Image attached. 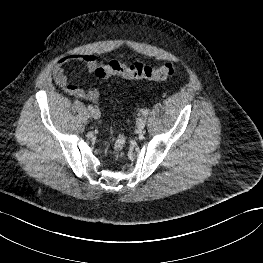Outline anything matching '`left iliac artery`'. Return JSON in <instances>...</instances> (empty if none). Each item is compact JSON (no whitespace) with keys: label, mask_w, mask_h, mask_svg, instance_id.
<instances>
[{"label":"left iliac artery","mask_w":263,"mask_h":263,"mask_svg":"<svg viewBox=\"0 0 263 263\" xmlns=\"http://www.w3.org/2000/svg\"><path fill=\"white\" fill-rule=\"evenodd\" d=\"M148 113H149L148 109H145V110L142 111V115H144V116L148 115Z\"/></svg>","instance_id":"44dca946"}]
</instances>
